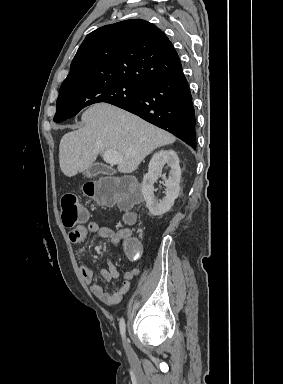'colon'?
I'll use <instances>...</instances> for the list:
<instances>
[{"mask_svg":"<svg viewBox=\"0 0 283 384\" xmlns=\"http://www.w3.org/2000/svg\"><path fill=\"white\" fill-rule=\"evenodd\" d=\"M83 194L100 206H118L125 211L130 210L139 199V192L134 182L117 177H105L88 182L83 186ZM61 206L62 221L66 227H74L88 219L87 210L81 207L77 196L73 193H67L62 197ZM126 251L132 259L139 258L142 253L139 243L130 239L126 242Z\"/></svg>","mask_w":283,"mask_h":384,"instance_id":"1","label":"colon"}]
</instances>
